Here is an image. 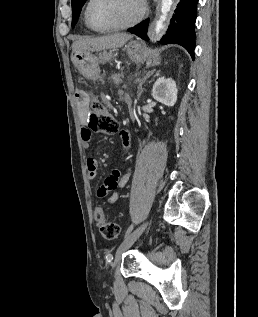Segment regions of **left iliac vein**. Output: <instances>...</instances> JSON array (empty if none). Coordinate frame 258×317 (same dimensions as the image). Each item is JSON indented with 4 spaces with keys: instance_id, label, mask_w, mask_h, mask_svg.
<instances>
[{
    "instance_id": "obj_1",
    "label": "left iliac vein",
    "mask_w": 258,
    "mask_h": 317,
    "mask_svg": "<svg viewBox=\"0 0 258 317\" xmlns=\"http://www.w3.org/2000/svg\"><path fill=\"white\" fill-rule=\"evenodd\" d=\"M148 221V222H147ZM144 224H140L136 230L131 231L128 237L125 238V240L118 246L116 251V257L115 262H120L121 255L123 251H126L127 248H130L133 246V241L139 240V235H142V231H146V227H150V220L148 219Z\"/></svg>"
}]
</instances>
